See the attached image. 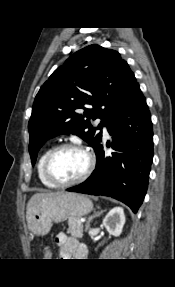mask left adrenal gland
<instances>
[{"label": "left adrenal gland", "instance_id": "left-adrenal-gland-1", "mask_svg": "<svg viewBox=\"0 0 175 287\" xmlns=\"http://www.w3.org/2000/svg\"><path fill=\"white\" fill-rule=\"evenodd\" d=\"M103 212H104V210H101L99 212L94 213L92 216H90L88 221L86 222V229H88L90 227V222L93 220V218L100 216Z\"/></svg>", "mask_w": 175, "mask_h": 287}]
</instances>
